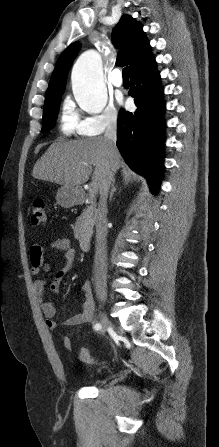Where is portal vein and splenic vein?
Returning a JSON list of instances; mask_svg holds the SVG:
<instances>
[{"mask_svg": "<svg viewBox=\"0 0 219 447\" xmlns=\"http://www.w3.org/2000/svg\"><path fill=\"white\" fill-rule=\"evenodd\" d=\"M96 192H97V185L95 182H92L90 185L89 193L90 195L93 196L94 194H96Z\"/></svg>", "mask_w": 219, "mask_h": 447, "instance_id": "1", "label": "portal vein and splenic vein"}]
</instances>
